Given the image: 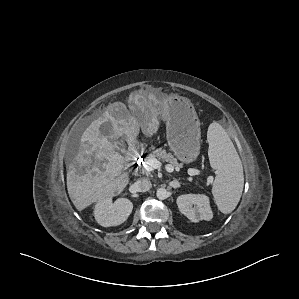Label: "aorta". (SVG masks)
<instances>
[{
  "label": "aorta",
  "mask_w": 299,
  "mask_h": 299,
  "mask_svg": "<svg viewBox=\"0 0 299 299\" xmlns=\"http://www.w3.org/2000/svg\"><path fill=\"white\" fill-rule=\"evenodd\" d=\"M156 196L160 200H164L168 197V191L165 188H159L156 192Z\"/></svg>",
  "instance_id": "762f6f07"
}]
</instances>
